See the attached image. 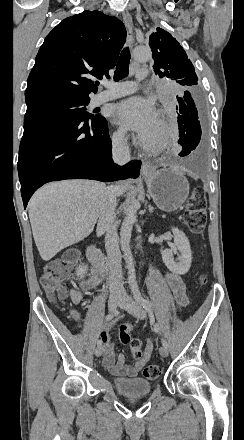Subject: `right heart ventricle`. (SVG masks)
<instances>
[{
    "label": "right heart ventricle",
    "mask_w": 244,
    "mask_h": 440,
    "mask_svg": "<svg viewBox=\"0 0 244 440\" xmlns=\"http://www.w3.org/2000/svg\"><path fill=\"white\" fill-rule=\"evenodd\" d=\"M155 128V127H154ZM154 128L149 132L150 135L154 134Z\"/></svg>",
    "instance_id": "obj_1"
}]
</instances>
